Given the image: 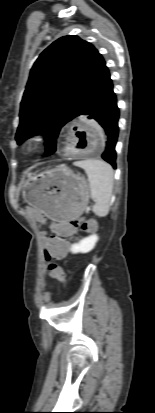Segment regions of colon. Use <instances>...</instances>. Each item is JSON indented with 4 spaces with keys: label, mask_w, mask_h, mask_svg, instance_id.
Returning <instances> with one entry per match:
<instances>
[{
    "label": "colon",
    "mask_w": 155,
    "mask_h": 413,
    "mask_svg": "<svg viewBox=\"0 0 155 413\" xmlns=\"http://www.w3.org/2000/svg\"><path fill=\"white\" fill-rule=\"evenodd\" d=\"M67 228L71 230H75L78 227V223L76 221H68L63 223ZM95 228V224L93 221L86 222L82 224L81 229L83 231H91ZM65 252V243L64 240L58 235H52L48 238L46 247L44 250L45 256L48 261L47 269L49 275L57 280L62 281L61 283L64 285L67 280V275L64 274V269L58 263L51 261V258L61 259L64 256Z\"/></svg>",
    "instance_id": "5ec220e1"
}]
</instances>
